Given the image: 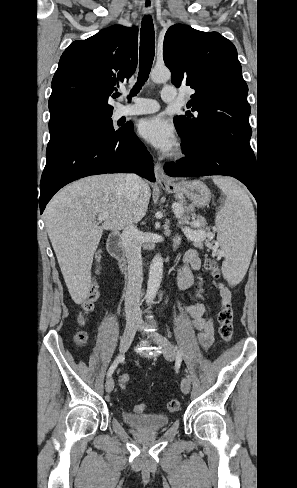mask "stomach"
Wrapping results in <instances>:
<instances>
[{"instance_id":"obj_1","label":"stomach","mask_w":297,"mask_h":488,"mask_svg":"<svg viewBox=\"0 0 297 488\" xmlns=\"http://www.w3.org/2000/svg\"><path fill=\"white\" fill-rule=\"evenodd\" d=\"M162 187L166 192L173 193L180 199L187 198L199 208L208 205L211 200L209 188L200 180L170 182Z\"/></svg>"}]
</instances>
